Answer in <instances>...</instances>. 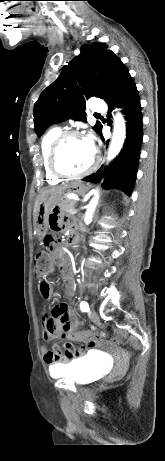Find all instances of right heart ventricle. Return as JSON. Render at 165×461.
Returning <instances> with one entry per match:
<instances>
[{
	"label": "right heart ventricle",
	"instance_id": "e07e8e85",
	"mask_svg": "<svg viewBox=\"0 0 165 461\" xmlns=\"http://www.w3.org/2000/svg\"><path fill=\"white\" fill-rule=\"evenodd\" d=\"M60 131L57 128L49 130L42 138L40 143V150L43 159V166L45 171L46 179L51 184H56L60 181V178L53 175L48 168V152L54 139L59 135Z\"/></svg>",
	"mask_w": 165,
	"mask_h": 461
}]
</instances>
